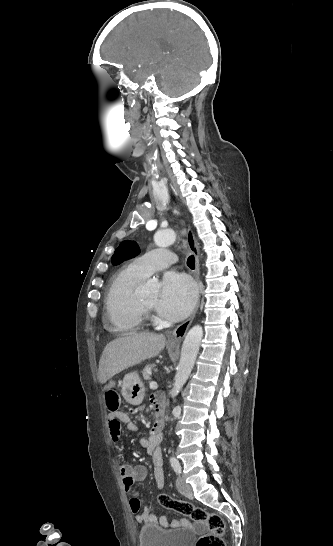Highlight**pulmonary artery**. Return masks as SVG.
<instances>
[{"label":"pulmonary artery","mask_w":333,"mask_h":546,"mask_svg":"<svg viewBox=\"0 0 333 546\" xmlns=\"http://www.w3.org/2000/svg\"><path fill=\"white\" fill-rule=\"evenodd\" d=\"M175 262L176 256L173 252L160 248L135 258L131 266L141 275L147 277L155 271L171 266Z\"/></svg>","instance_id":"pulmonary-artery-1"}]
</instances>
